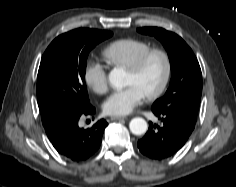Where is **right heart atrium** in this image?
<instances>
[{"mask_svg": "<svg viewBox=\"0 0 236 187\" xmlns=\"http://www.w3.org/2000/svg\"><path fill=\"white\" fill-rule=\"evenodd\" d=\"M84 82L92 91L102 94L108 89L105 69L97 62H90L84 69Z\"/></svg>", "mask_w": 236, "mask_h": 187, "instance_id": "d8ad5b80", "label": "right heart atrium"}]
</instances>
